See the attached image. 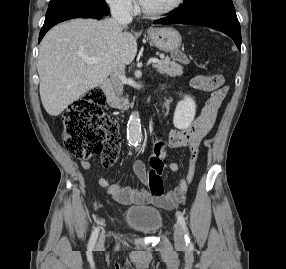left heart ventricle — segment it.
I'll return each instance as SVG.
<instances>
[{
	"label": "left heart ventricle",
	"instance_id": "obj_1",
	"mask_svg": "<svg viewBox=\"0 0 286 269\" xmlns=\"http://www.w3.org/2000/svg\"><path fill=\"white\" fill-rule=\"evenodd\" d=\"M149 10H160L169 6L174 0H140Z\"/></svg>",
	"mask_w": 286,
	"mask_h": 269
}]
</instances>
